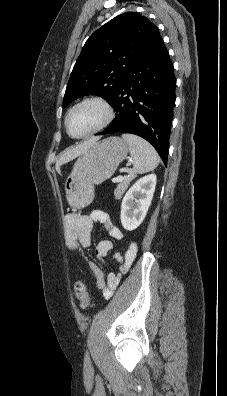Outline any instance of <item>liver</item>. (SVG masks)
<instances>
[{
	"label": "liver",
	"mask_w": 227,
	"mask_h": 396,
	"mask_svg": "<svg viewBox=\"0 0 227 396\" xmlns=\"http://www.w3.org/2000/svg\"><path fill=\"white\" fill-rule=\"evenodd\" d=\"M98 139L97 138H93L90 140H87L81 144H79L78 146L72 148L71 150H68L67 152H65L60 158L59 160L56 162V170L58 172H60V166L62 164H65L73 159H75L76 157H78L79 155H81L83 152H85L91 145H93Z\"/></svg>",
	"instance_id": "liver-1"
}]
</instances>
